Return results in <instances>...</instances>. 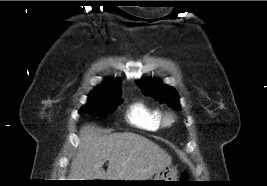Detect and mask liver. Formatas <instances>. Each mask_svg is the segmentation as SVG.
<instances>
[{"label":"liver","instance_id":"liver-1","mask_svg":"<svg viewBox=\"0 0 267 186\" xmlns=\"http://www.w3.org/2000/svg\"><path fill=\"white\" fill-rule=\"evenodd\" d=\"M80 144L70 166V180L145 181L172 158L154 142L131 132L102 135L85 125L79 134ZM108 161L107 171L102 168Z\"/></svg>","mask_w":267,"mask_h":186}]
</instances>
